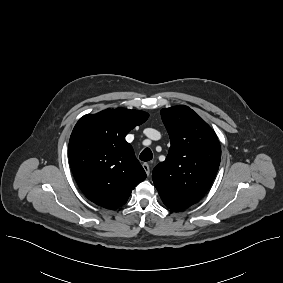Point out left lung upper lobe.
<instances>
[{"instance_id":"5c2ea615","label":"left lung upper lobe","mask_w":283,"mask_h":283,"mask_svg":"<svg viewBox=\"0 0 283 283\" xmlns=\"http://www.w3.org/2000/svg\"><path fill=\"white\" fill-rule=\"evenodd\" d=\"M171 146L152 179L163 203L180 211L198 202L218 171L221 148L213 129L192 109L178 105L161 110Z\"/></svg>"}]
</instances>
